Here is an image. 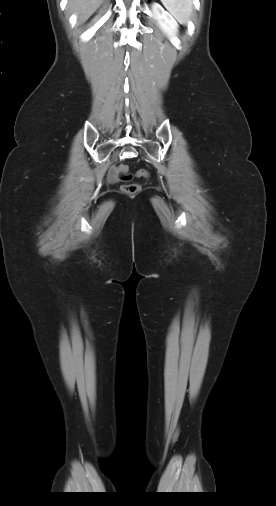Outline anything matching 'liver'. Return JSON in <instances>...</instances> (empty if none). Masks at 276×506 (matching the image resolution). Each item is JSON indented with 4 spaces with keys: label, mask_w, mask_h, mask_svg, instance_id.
<instances>
[{
    "label": "liver",
    "mask_w": 276,
    "mask_h": 506,
    "mask_svg": "<svg viewBox=\"0 0 276 506\" xmlns=\"http://www.w3.org/2000/svg\"><path fill=\"white\" fill-rule=\"evenodd\" d=\"M103 0H69L70 11L78 15L79 23L85 22L102 4Z\"/></svg>",
    "instance_id": "obj_1"
}]
</instances>
